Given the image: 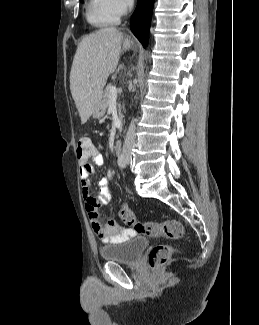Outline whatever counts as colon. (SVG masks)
I'll list each match as a JSON object with an SVG mask.
<instances>
[{"mask_svg": "<svg viewBox=\"0 0 259 325\" xmlns=\"http://www.w3.org/2000/svg\"><path fill=\"white\" fill-rule=\"evenodd\" d=\"M94 150L95 148L90 138L81 137L78 140L77 157L79 160L85 161L90 159ZM119 216L125 224L132 226L136 232L150 237H163L170 240H178L183 236V225L180 221L175 219L166 220L162 223L152 221L139 222L136 220L133 212L125 204L121 206ZM175 251L174 247L166 244L154 246L148 257L150 267L157 269L166 265Z\"/></svg>", "mask_w": 259, "mask_h": 325, "instance_id": "colon-1", "label": "colon"}]
</instances>
